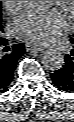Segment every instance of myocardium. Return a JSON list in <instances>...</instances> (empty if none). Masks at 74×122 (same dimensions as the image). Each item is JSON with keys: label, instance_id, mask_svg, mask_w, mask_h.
Segmentation results:
<instances>
[{"label": "myocardium", "instance_id": "obj_1", "mask_svg": "<svg viewBox=\"0 0 74 122\" xmlns=\"http://www.w3.org/2000/svg\"><path fill=\"white\" fill-rule=\"evenodd\" d=\"M56 4L59 6L66 5L71 16L73 15V13H74V1H56Z\"/></svg>", "mask_w": 74, "mask_h": 122}]
</instances>
